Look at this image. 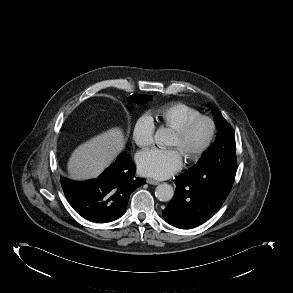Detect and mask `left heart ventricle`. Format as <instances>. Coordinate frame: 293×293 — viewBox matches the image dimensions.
<instances>
[{"label":"left heart ventricle","instance_id":"left-heart-ventricle-1","mask_svg":"<svg viewBox=\"0 0 293 293\" xmlns=\"http://www.w3.org/2000/svg\"><path fill=\"white\" fill-rule=\"evenodd\" d=\"M209 134L207 123H200L186 139H180L176 134L171 146L178 148L182 153L193 152L199 149L206 141Z\"/></svg>","mask_w":293,"mask_h":293}]
</instances>
